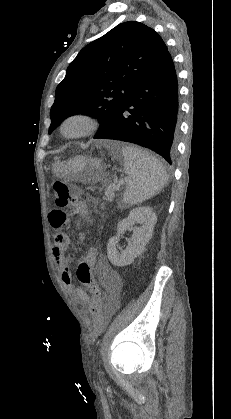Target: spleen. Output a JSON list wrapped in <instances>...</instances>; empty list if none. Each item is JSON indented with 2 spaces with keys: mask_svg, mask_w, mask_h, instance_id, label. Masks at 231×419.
Here are the masks:
<instances>
[{
  "mask_svg": "<svg viewBox=\"0 0 231 419\" xmlns=\"http://www.w3.org/2000/svg\"><path fill=\"white\" fill-rule=\"evenodd\" d=\"M122 155L126 174L123 201L126 205L144 202L167 184L168 174L163 164L149 152L135 146H124Z\"/></svg>",
  "mask_w": 231,
  "mask_h": 419,
  "instance_id": "obj_1",
  "label": "spleen"
}]
</instances>
